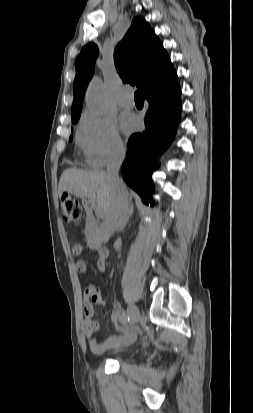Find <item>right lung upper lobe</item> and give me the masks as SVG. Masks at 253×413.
<instances>
[{"label":"right lung upper lobe","instance_id":"obj_1","mask_svg":"<svg viewBox=\"0 0 253 413\" xmlns=\"http://www.w3.org/2000/svg\"><path fill=\"white\" fill-rule=\"evenodd\" d=\"M98 48L94 43L84 46L76 60L73 84L72 120L80 117L85 91L93 76ZM114 63L124 82L142 87L144 95L150 88L179 82L177 73L162 43L141 17L133 19L122 41L114 51Z\"/></svg>","mask_w":253,"mask_h":413}]
</instances>
